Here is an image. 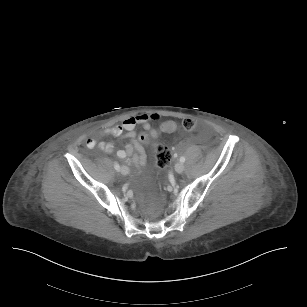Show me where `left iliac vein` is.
I'll list each match as a JSON object with an SVG mask.
<instances>
[{
  "label": "left iliac vein",
  "mask_w": 307,
  "mask_h": 307,
  "mask_svg": "<svg viewBox=\"0 0 307 307\" xmlns=\"http://www.w3.org/2000/svg\"><path fill=\"white\" fill-rule=\"evenodd\" d=\"M184 164L182 162H178L176 165H175V171L177 173H182L184 171Z\"/></svg>",
  "instance_id": "obj_1"
}]
</instances>
